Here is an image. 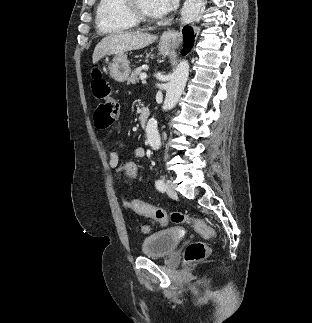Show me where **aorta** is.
Returning a JSON list of instances; mask_svg holds the SVG:
<instances>
[{
	"label": "aorta",
	"mask_w": 312,
	"mask_h": 323,
	"mask_svg": "<svg viewBox=\"0 0 312 323\" xmlns=\"http://www.w3.org/2000/svg\"><path fill=\"white\" fill-rule=\"evenodd\" d=\"M189 76V64L186 60L178 64L175 72L171 76L170 82L166 88V98L162 106V110H172L176 106ZM146 138L152 150H159L161 148V138L157 126V120H148L146 126Z\"/></svg>",
	"instance_id": "762f6f07"
}]
</instances>
